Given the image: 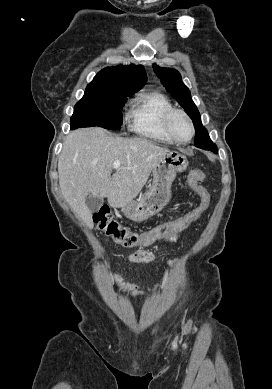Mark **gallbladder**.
Instances as JSON below:
<instances>
[{
  "instance_id": "obj_1",
  "label": "gallbladder",
  "mask_w": 272,
  "mask_h": 389,
  "mask_svg": "<svg viewBox=\"0 0 272 389\" xmlns=\"http://www.w3.org/2000/svg\"><path fill=\"white\" fill-rule=\"evenodd\" d=\"M103 204V198L95 197L93 195H88L86 197V205L91 211V213L97 212Z\"/></svg>"
}]
</instances>
